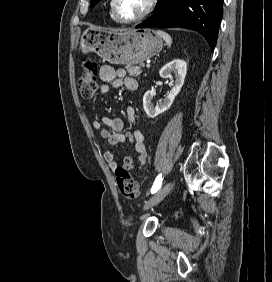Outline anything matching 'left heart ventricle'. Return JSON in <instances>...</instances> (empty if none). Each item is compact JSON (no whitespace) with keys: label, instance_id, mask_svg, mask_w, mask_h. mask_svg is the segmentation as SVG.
Instances as JSON below:
<instances>
[{"label":"left heart ventricle","instance_id":"1","mask_svg":"<svg viewBox=\"0 0 272 282\" xmlns=\"http://www.w3.org/2000/svg\"><path fill=\"white\" fill-rule=\"evenodd\" d=\"M150 0H118L117 10L124 18H134L142 14Z\"/></svg>","mask_w":272,"mask_h":282}]
</instances>
